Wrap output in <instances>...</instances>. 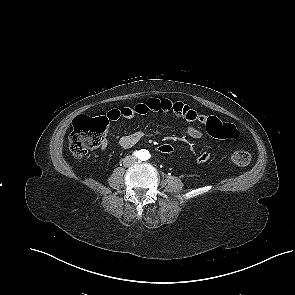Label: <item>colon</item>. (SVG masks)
Listing matches in <instances>:
<instances>
[{
    "label": "colon",
    "mask_w": 295,
    "mask_h": 295,
    "mask_svg": "<svg viewBox=\"0 0 295 295\" xmlns=\"http://www.w3.org/2000/svg\"><path fill=\"white\" fill-rule=\"evenodd\" d=\"M208 132L218 138L234 139L239 136V132L232 124L222 123L218 120H210L206 126ZM107 129V119L103 116L89 117L80 115L73 121V130L69 136V145L72 155L82 159L88 153L101 145ZM161 153L172 155L175 147L172 144L161 142L158 145ZM251 160L250 154L245 150H236L232 154L233 163L240 168L246 167Z\"/></svg>",
    "instance_id": "1"
}]
</instances>
